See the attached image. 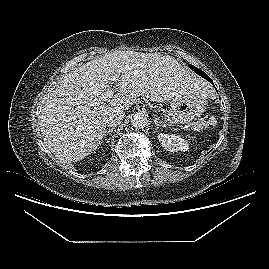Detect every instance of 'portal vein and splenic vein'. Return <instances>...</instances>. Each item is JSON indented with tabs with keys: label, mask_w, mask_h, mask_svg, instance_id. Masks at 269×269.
I'll list each match as a JSON object with an SVG mask.
<instances>
[{
	"label": "portal vein and splenic vein",
	"mask_w": 269,
	"mask_h": 269,
	"mask_svg": "<svg viewBox=\"0 0 269 269\" xmlns=\"http://www.w3.org/2000/svg\"><path fill=\"white\" fill-rule=\"evenodd\" d=\"M118 76H119V75L114 76V77L112 78V80H113V81H117V80H118ZM114 92H115V89H114V88H112V89L106 91V92L102 95V99H103V100H107L108 98H110L111 96H113Z\"/></svg>",
	"instance_id": "18ae733b"
}]
</instances>
